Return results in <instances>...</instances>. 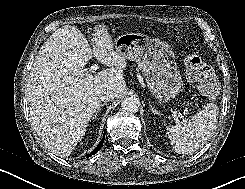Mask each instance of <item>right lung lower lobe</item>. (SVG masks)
<instances>
[{"label":"right lung lower lobe","instance_id":"obj_1","mask_svg":"<svg viewBox=\"0 0 245 189\" xmlns=\"http://www.w3.org/2000/svg\"><path fill=\"white\" fill-rule=\"evenodd\" d=\"M104 137H105V134H103V138H102L101 142L98 144V146H97V147L94 149V151H93L91 154H89L87 157H90L91 155L96 154V153L101 149V147L103 146V143H104Z\"/></svg>","mask_w":245,"mask_h":189}]
</instances>
